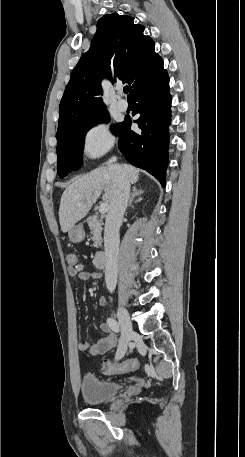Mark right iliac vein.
Returning <instances> with one entry per match:
<instances>
[{"mask_svg": "<svg viewBox=\"0 0 245 457\" xmlns=\"http://www.w3.org/2000/svg\"><path fill=\"white\" fill-rule=\"evenodd\" d=\"M118 319L121 326V338L119 342L116 359L122 358L123 355L126 353L133 333V325L130 320L129 313L121 305L118 308Z\"/></svg>", "mask_w": 245, "mask_h": 457, "instance_id": "63e3f726", "label": "right iliac vein"}]
</instances>
